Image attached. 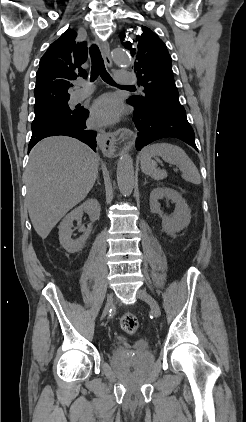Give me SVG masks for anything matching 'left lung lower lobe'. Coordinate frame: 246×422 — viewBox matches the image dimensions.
Returning a JSON list of instances; mask_svg holds the SVG:
<instances>
[{"mask_svg":"<svg viewBox=\"0 0 246 422\" xmlns=\"http://www.w3.org/2000/svg\"><path fill=\"white\" fill-rule=\"evenodd\" d=\"M134 108L133 121L138 132L136 138L138 151L153 141L166 137L178 138L198 150L194 140V131L188 123L185 113Z\"/></svg>","mask_w":246,"mask_h":422,"instance_id":"1","label":"left lung lower lobe"}]
</instances>
